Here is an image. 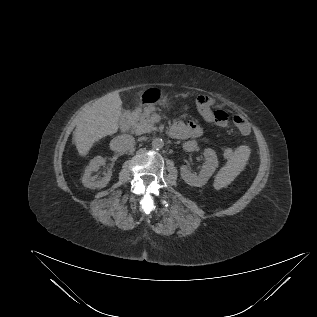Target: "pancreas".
I'll return each mask as SVG.
<instances>
[{"mask_svg": "<svg viewBox=\"0 0 317 317\" xmlns=\"http://www.w3.org/2000/svg\"><path fill=\"white\" fill-rule=\"evenodd\" d=\"M152 111L153 109L151 107H147L143 112H137L132 115L131 131L133 133L141 135L157 130L150 118Z\"/></svg>", "mask_w": 317, "mask_h": 317, "instance_id": "pancreas-1", "label": "pancreas"}]
</instances>
